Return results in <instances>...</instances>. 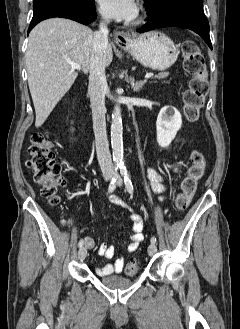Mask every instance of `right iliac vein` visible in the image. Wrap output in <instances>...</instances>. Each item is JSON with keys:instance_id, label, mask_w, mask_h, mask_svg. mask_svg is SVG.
I'll return each mask as SVG.
<instances>
[{"instance_id": "obj_1", "label": "right iliac vein", "mask_w": 240, "mask_h": 329, "mask_svg": "<svg viewBox=\"0 0 240 329\" xmlns=\"http://www.w3.org/2000/svg\"><path fill=\"white\" fill-rule=\"evenodd\" d=\"M109 179H110V177L107 176V177H106V180H109ZM86 255H87V249H86L85 247H81V248L79 249V251H78V258H79L80 260H84L85 257H86Z\"/></svg>"}]
</instances>
